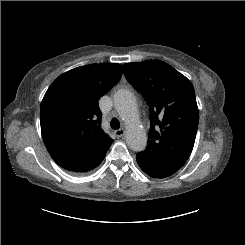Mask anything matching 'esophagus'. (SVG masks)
Here are the masks:
<instances>
[{"instance_id": "esophagus-1", "label": "esophagus", "mask_w": 245, "mask_h": 245, "mask_svg": "<svg viewBox=\"0 0 245 245\" xmlns=\"http://www.w3.org/2000/svg\"><path fill=\"white\" fill-rule=\"evenodd\" d=\"M124 134H125V130H124V129H119V130H116V131H115V135H116L118 138L124 136Z\"/></svg>"}]
</instances>
